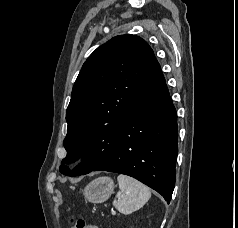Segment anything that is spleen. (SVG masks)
I'll return each mask as SVG.
<instances>
[{
  "label": "spleen",
  "instance_id": "obj_1",
  "mask_svg": "<svg viewBox=\"0 0 238 228\" xmlns=\"http://www.w3.org/2000/svg\"><path fill=\"white\" fill-rule=\"evenodd\" d=\"M119 192L113 201L115 208L124 215H129L143 207L151 197L149 188L136 179L119 175Z\"/></svg>",
  "mask_w": 238,
  "mask_h": 228
}]
</instances>
